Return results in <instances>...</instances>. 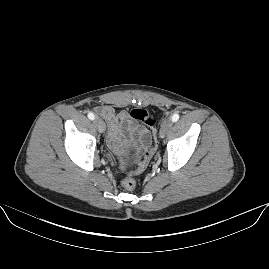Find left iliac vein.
Listing matches in <instances>:
<instances>
[{
    "label": "left iliac vein",
    "instance_id": "1",
    "mask_svg": "<svg viewBox=\"0 0 269 269\" xmlns=\"http://www.w3.org/2000/svg\"><path fill=\"white\" fill-rule=\"evenodd\" d=\"M173 122L170 119H165L163 120L160 130H159V135L161 138L165 137L168 131L172 128Z\"/></svg>",
    "mask_w": 269,
    "mask_h": 269
}]
</instances>
